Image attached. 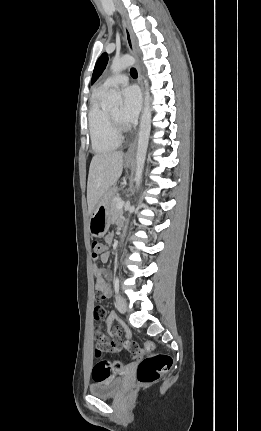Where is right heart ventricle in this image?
Instances as JSON below:
<instances>
[{
    "mask_svg": "<svg viewBox=\"0 0 261 431\" xmlns=\"http://www.w3.org/2000/svg\"><path fill=\"white\" fill-rule=\"evenodd\" d=\"M105 91L101 88L97 89L88 113L91 146L98 154L113 152L121 143L120 137L111 126L108 111L102 106Z\"/></svg>",
    "mask_w": 261,
    "mask_h": 431,
    "instance_id": "1",
    "label": "right heart ventricle"
}]
</instances>
